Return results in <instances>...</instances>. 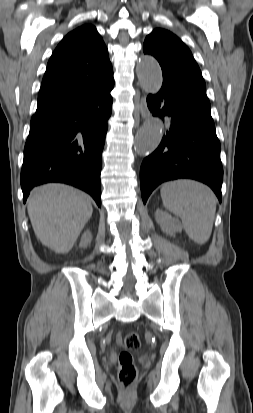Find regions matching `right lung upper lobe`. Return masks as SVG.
<instances>
[{
    "instance_id": "1",
    "label": "right lung upper lobe",
    "mask_w": 253,
    "mask_h": 413,
    "mask_svg": "<svg viewBox=\"0 0 253 413\" xmlns=\"http://www.w3.org/2000/svg\"><path fill=\"white\" fill-rule=\"evenodd\" d=\"M113 74L107 48L96 28L83 25L67 34L53 52L33 117H49L95 94Z\"/></svg>"
}]
</instances>
